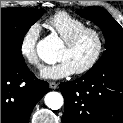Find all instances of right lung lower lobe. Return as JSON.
<instances>
[{"label": "right lung lower lobe", "instance_id": "right-lung-lower-lobe-1", "mask_svg": "<svg viewBox=\"0 0 123 123\" xmlns=\"http://www.w3.org/2000/svg\"><path fill=\"white\" fill-rule=\"evenodd\" d=\"M49 91L25 62L1 59V123H28L37 102Z\"/></svg>", "mask_w": 123, "mask_h": 123}]
</instances>
